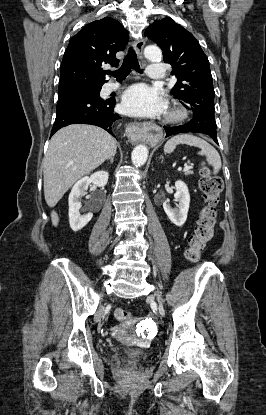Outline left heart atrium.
I'll return each instance as SVG.
<instances>
[{
    "mask_svg": "<svg viewBox=\"0 0 266 415\" xmlns=\"http://www.w3.org/2000/svg\"><path fill=\"white\" fill-rule=\"evenodd\" d=\"M122 108L129 115L148 117L161 114L166 108V102L159 89L136 84L125 91Z\"/></svg>",
    "mask_w": 266,
    "mask_h": 415,
    "instance_id": "left-heart-atrium-1",
    "label": "left heart atrium"
}]
</instances>
